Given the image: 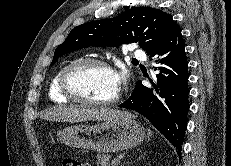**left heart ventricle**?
Instances as JSON below:
<instances>
[{"label": "left heart ventricle", "instance_id": "b2bd125f", "mask_svg": "<svg viewBox=\"0 0 231 166\" xmlns=\"http://www.w3.org/2000/svg\"><path fill=\"white\" fill-rule=\"evenodd\" d=\"M70 85L79 95L94 100H109L119 90L115 73L100 66L79 69L71 76Z\"/></svg>", "mask_w": 231, "mask_h": 166}]
</instances>
